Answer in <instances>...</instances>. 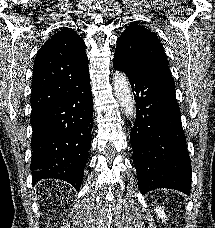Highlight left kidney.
Listing matches in <instances>:
<instances>
[{"instance_id":"obj_1","label":"left kidney","mask_w":215,"mask_h":228,"mask_svg":"<svg viewBox=\"0 0 215 228\" xmlns=\"http://www.w3.org/2000/svg\"><path fill=\"white\" fill-rule=\"evenodd\" d=\"M154 212H155L157 218H159V220H162V222H165L166 214H165L164 210H162V208H158V206H157V208H155Z\"/></svg>"}]
</instances>
